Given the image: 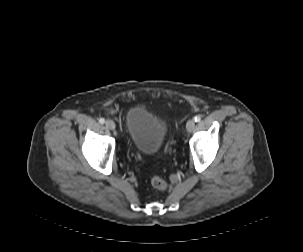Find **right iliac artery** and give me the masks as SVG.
<instances>
[{
	"instance_id": "obj_1",
	"label": "right iliac artery",
	"mask_w": 303,
	"mask_h": 252,
	"mask_svg": "<svg viewBox=\"0 0 303 252\" xmlns=\"http://www.w3.org/2000/svg\"><path fill=\"white\" fill-rule=\"evenodd\" d=\"M99 122H100L101 124H103V123L105 122V119H104V118H100V119H99Z\"/></svg>"
}]
</instances>
